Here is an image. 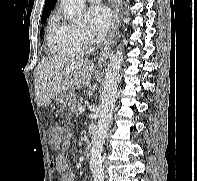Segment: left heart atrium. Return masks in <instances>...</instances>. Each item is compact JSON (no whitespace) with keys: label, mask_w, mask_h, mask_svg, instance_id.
<instances>
[{"label":"left heart atrium","mask_w":197,"mask_h":181,"mask_svg":"<svg viewBox=\"0 0 197 181\" xmlns=\"http://www.w3.org/2000/svg\"><path fill=\"white\" fill-rule=\"evenodd\" d=\"M86 17L90 33L97 38H103L112 22L110 9L105 5H94L87 10Z\"/></svg>","instance_id":"1"}]
</instances>
